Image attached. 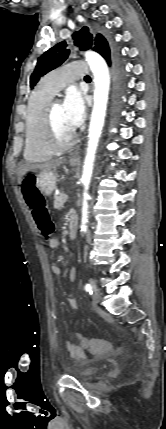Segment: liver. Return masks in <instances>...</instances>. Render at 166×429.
<instances>
[{
	"instance_id": "1",
	"label": "liver",
	"mask_w": 166,
	"mask_h": 429,
	"mask_svg": "<svg viewBox=\"0 0 166 429\" xmlns=\"http://www.w3.org/2000/svg\"><path fill=\"white\" fill-rule=\"evenodd\" d=\"M63 162H64V159L63 158H59V159H56V160H52V161L46 162L44 164H30V163L22 164V165H20V167L18 168V171H17L18 181L21 182L23 176L28 171H36V170L50 171L52 169H56Z\"/></svg>"
}]
</instances>
